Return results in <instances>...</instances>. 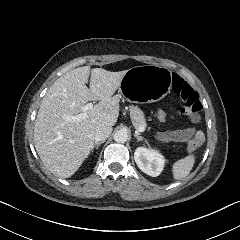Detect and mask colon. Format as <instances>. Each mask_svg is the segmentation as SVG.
<instances>
[{"label": "colon", "mask_w": 240, "mask_h": 240, "mask_svg": "<svg viewBox=\"0 0 240 240\" xmlns=\"http://www.w3.org/2000/svg\"><path fill=\"white\" fill-rule=\"evenodd\" d=\"M179 96L181 100L188 103V116L193 120L198 119V113L202 109V103L199 98L197 91L193 89L188 83H184L183 86L179 89ZM158 120H167V113H163V110H158ZM187 145H190V148H195V145L202 146V132H197V135H193V138L186 141Z\"/></svg>", "instance_id": "obj_1"}]
</instances>
